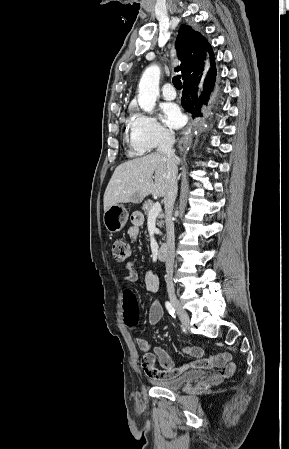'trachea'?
I'll return each instance as SVG.
<instances>
[{
	"instance_id": "obj_1",
	"label": "trachea",
	"mask_w": 289,
	"mask_h": 449,
	"mask_svg": "<svg viewBox=\"0 0 289 449\" xmlns=\"http://www.w3.org/2000/svg\"><path fill=\"white\" fill-rule=\"evenodd\" d=\"M180 78H181L180 75L173 77V85L175 86L176 89L182 88V82Z\"/></svg>"
}]
</instances>
